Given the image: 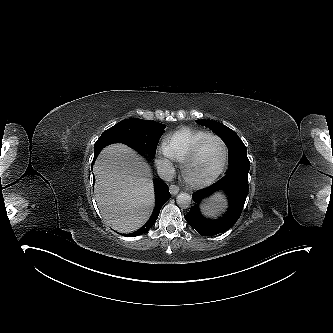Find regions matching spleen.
<instances>
[{"instance_id":"1","label":"spleen","mask_w":333,"mask_h":333,"mask_svg":"<svg viewBox=\"0 0 333 333\" xmlns=\"http://www.w3.org/2000/svg\"><path fill=\"white\" fill-rule=\"evenodd\" d=\"M224 207H225L224 196L218 193L210 199L209 203L204 204L202 206V211L205 215L214 216Z\"/></svg>"}]
</instances>
